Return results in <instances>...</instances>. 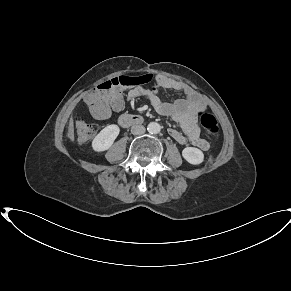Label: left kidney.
<instances>
[{
  "mask_svg": "<svg viewBox=\"0 0 291 291\" xmlns=\"http://www.w3.org/2000/svg\"><path fill=\"white\" fill-rule=\"evenodd\" d=\"M183 158L192 165L201 164L204 161L203 152L195 147H186L182 151Z\"/></svg>",
  "mask_w": 291,
  "mask_h": 291,
  "instance_id": "1",
  "label": "left kidney"
}]
</instances>
